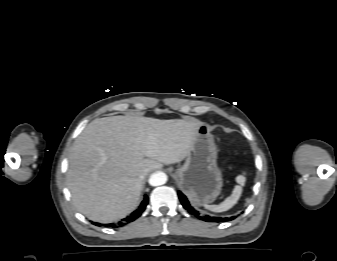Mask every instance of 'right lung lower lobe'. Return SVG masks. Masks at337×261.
<instances>
[{
	"instance_id": "98d812e1",
	"label": "right lung lower lobe",
	"mask_w": 337,
	"mask_h": 261,
	"mask_svg": "<svg viewBox=\"0 0 337 261\" xmlns=\"http://www.w3.org/2000/svg\"><path fill=\"white\" fill-rule=\"evenodd\" d=\"M147 204H148V196L145 195L144 200L141 202L139 208L136 209L133 213H131L128 217L122 219V221L118 223V226H124L134 221L135 219H137L142 214V212L145 210ZM110 225L115 226L114 224H110Z\"/></svg>"
}]
</instances>
